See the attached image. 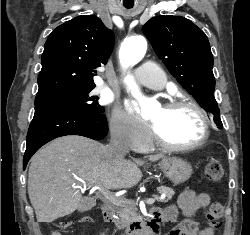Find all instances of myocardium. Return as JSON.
Instances as JSON below:
<instances>
[{"instance_id": "1", "label": "myocardium", "mask_w": 250, "mask_h": 235, "mask_svg": "<svg viewBox=\"0 0 250 235\" xmlns=\"http://www.w3.org/2000/svg\"><path fill=\"white\" fill-rule=\"evenodd\" d=\"M187 106L192 108L197 112L201 120V133L197 140L192 143L184 145H175L168 143L163 139L158 130L152 126L150 128V133L154 143L161 148L162 150L169 152H186L194 150L205 143L209 136V117L205 109L194 99L189 97H179L173 100L168 101L164 107L166 109H174L178 107Z\"/></svg>"}]
</instances>
